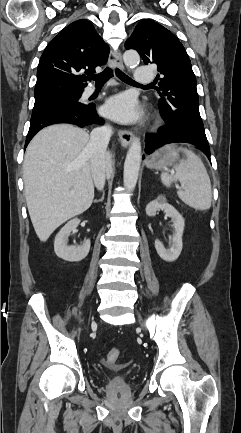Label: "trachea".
Masks as SVG:
<instances>
[{
  "instance_id": "trachea-1",
  "label": "trachea",
  "mask_w": 241,
  "mask_h": 433,
  "mask_svg": "<svg viewBox=\"0 0 241 433\" xmlns=\"http://www.w3.org/2000/svg\"><path fill=\"white\" fill-rule=\"evenodd\" d=\"M116 75L124 82L133 84V85H140L130 77H128L125 73H123L120 69L115 68ZM113 76V70L111 68H106L103 72L93 75L92 79L95 80L96 85L104 84L106 81H108Z\"/></svg>"
}]
</instances>
